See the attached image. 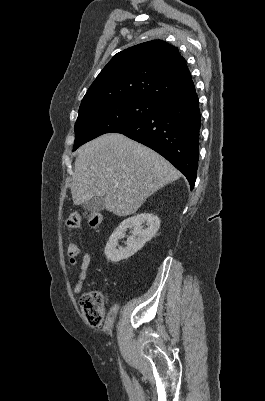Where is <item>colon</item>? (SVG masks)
<instances>
[{
    "label": "colon",
    "mask_w": 265,
    "mask_h": 401,
    "mask_svg": "<svg viewBox=\"0 0 265 401\" xmlns=\"http://www.w3.org/2000/svg\"><path fill=\"white\" fill-rule=\"evenodd\" d=\"M84 215L80 212H72L68 216L67 226L71 230L80 227L82 217ZM85 216L88 218L91 227H97L102 222V214L99 212H89ZM79 254V247L76 243L71 242L68 245V255L70 257H77ZM81 309L85 321L92 326L100 325L105 316V300L103 294L98 290H92L85 293L80 301Z\"/></svg>",
    "instance_id": "obj_1"
}]
</instances>
